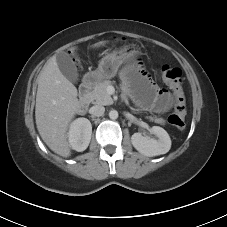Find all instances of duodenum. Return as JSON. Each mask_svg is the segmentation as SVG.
<instances>
[{
  "instance_id": "410a0bca",
  "label": "duodenum",
  "mask_w": 227,
  "mask_h": 227,
  "mask_svg": "<svg viewBox=\"0 0 227 227\" xmlns=\"http://www.w3.org/2000/svg\"><path fill=\"white\" fill-rule=\"evenodd\" d=\"M93 81L94 79L92 76H86L83 80L82 86L80 88L81 95L76 105V110L78 112H82L89 103L90 98L88 93L93 85Z\"/></svg>"
}]
</instances>
